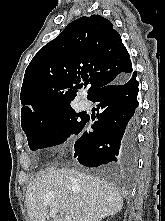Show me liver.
Instances as JSON below:
<instances>
[{"instance_id": "6515ba94", "label": "liver", "mask_w": 165, "mask_h": 221, "mask_svg": "<svg viewBox=\"0 0 165 221\" xmlns=\"http://www.w3.org/2000/svg\"><path fill=\"white\" fill-rule=\"evenodd\" d=\"M25 204L30 221H48L49 208L59 216L50 221H101L123 207L118 190L108 181L75 169H47L27 187Z\"/></svg>"}]
</instances>
